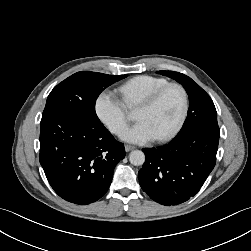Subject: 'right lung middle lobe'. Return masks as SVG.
<instances>
[{
  "label": "right lung middle lobe",
  "instance_id": "obj_1",
  "mask_svg": "<svg viewBox=\"0 0 251 251\" xmlns=\"http://www.w3.org/2000/svg\"><path fill=\"white\" fill-rule=\"evenodd\" d=\"M126 77L127 75L77 72L51 91L42 118L59 113H75L99 122L95 113V103L99 94L111 84Z\"/></svg>",
  "mask_w": 251,
  "mask_h": 251
}]
</instances>
